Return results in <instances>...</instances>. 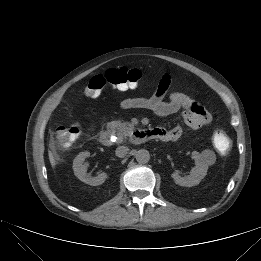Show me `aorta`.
<instances>
[{
    "instance_id": "1",
    "label": "aorta",
    "mask_w": 261,
    "mask_h": 261,
    "mask_svg": "<svg viewBox=\"0 0 261 261\" xmlns=\"http://www.w3.org/2000/svg\"><path fill=\"white\" fill-rule=\"evenodd\" d=\"M136 161L140 164H146L150 160L149 151L146 149H140L135 154Z\"/></svg>"
}]
</instances>
